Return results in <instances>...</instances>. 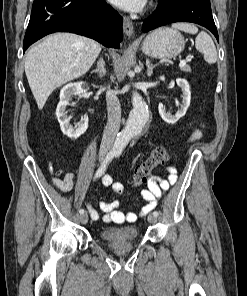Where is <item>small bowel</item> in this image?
<instances>
[{"label":"small bowel","mask_w":247,"mask_h":296,"mask_svg":"<svg viewBox=\"0 0 247 296\" xmlns=\"http://www.w3.org/2000/svg\"><path fill=\"white\" fill-rule=\"evenodd\" d=\"M201 136L200 131H196L193 134V138L197 139ZM168 179L157 181L151 179L148 182V189L141 191V197L147 202V204L142 208V214H147L156 205L157 199L161 196L162 190H168L176 181V170L173 167L167 168ZM74 174L72 172H67L62 179H54L53 184L61 191H70L73 188ZM101 183L104 186H108L112 189L113 193L116 195H122L124 192V186L120 182H115L110 175H103L101 177ZM87 209L90 217L93 220H98L100 218L99 212L94 206L87 202ZM99 209L103 212L101 217L104 223H114L123 224L134 222L137 219L135 213H124L120 210V203L118 201L105 202L101 201L99 203Z\"/></svg>","instance_id":"c3829d8e"}]
</instances>
